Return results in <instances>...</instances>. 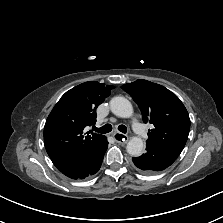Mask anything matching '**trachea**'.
Wrapping results in <instances>:
<instances>
[{
	"label": "trachea",
	"mask_w": 223,
	"mask_h": 223,
	"mask_svg": "<svg viewBox=\"0 0 223 223\" xmlns=\"http://www.w3.org/2000/svg\"><path fill=\"white\" fill-rule=\"evenodd\" d=\"M118 130L122 133H126L127 127L124 125H119ZM94 131L102 133V134L109 133L112 131V126L110 124H105L101 128L94 127Z\"/></svg>",
	"instance_id": "3493384b"
}]
</instances>
